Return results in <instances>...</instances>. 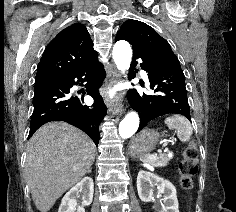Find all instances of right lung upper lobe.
<instances>
[{
  "mask_svg": "<svg viewBox=\"0 0 236 212\" xmlns=\"http://www.w3.org/2000/svg\"><path fill=\"white\" fill-rule=\"evenodd\" d=\"M97 58L86 27L72 24L48 44L37 66L35 79L71 75Z\"/></svg>",
  "mask_w": 236,
  "mask_h": 212,
  "instance_id": "1",
  "label": "right lung upper lobe"
}]
</instances>
